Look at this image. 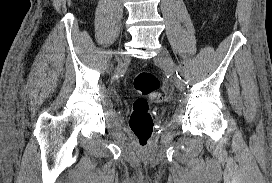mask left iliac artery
I'll list each match as a JSON object with an SVG mask.
<instances>
[{"label":"left iliac artery","mask_w":272,"mask_h":183,"mask_svg":"<svg viewBox=\"0 0 272 183\" xmlns=\"http://www.w3.org/2000/svg\"><path fill=\"white\" fill-rule=\"evenodd\" d=\"M176 75L179 79H182L183 77V72H182V69L181 67L177 66V69H176Z\"/></svg>","instance_id":"44dca946"}]
</instances>
